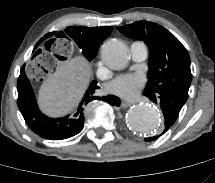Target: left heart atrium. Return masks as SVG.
Listing matches in <instances>:
<instances>
[{
  "mask_svg": "<svg viewBox=\"0 0 215 183\" xmlns=\"http://www.w3.org/2000/svg\"><path fill=\"white\" fill-rule=\"evenodd\" d=\"M145 79L143 75L129 74L116 78L109 84V91L125 99H134L139 94Z\"/></svg>",
  "mask_w": 215,
  "mask_h": 183,
  "instance_id": "1",
  "label": "left heart atrium"
}]
</instances>
